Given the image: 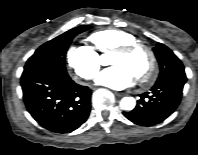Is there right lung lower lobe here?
I'll use <instances>...</instances> for the list:
<instances>
[{
	"label": "right lung lower lobe",
	"instance_id": "98d812e1",
	"mask_svg": "<svg viewBox=\"0 0 198 155\" xmlns=\"http://www.w3.org/2000/svg\"><path fill=\"white\" fill-rule=\"evenodd\" d=\"M23 99L31 116L55 133H69L88 118L91 90L68 75L49 69H25L21 76Z\"/></svg>",
	"mask_w": 198,
	"mask_h": 155
}]
</instances>
